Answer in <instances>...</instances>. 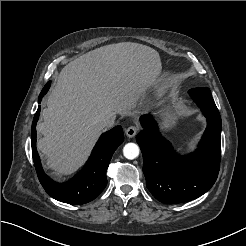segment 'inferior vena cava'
Returning a JSON list of instances; mask_svg holds the SVG:
<instances>
[{
    "label": "inferior vena cava",
    "instance_id": "1",
    "mask_svg": "<svg viewBox=\"0 0 246 246\" xmlns=\"http://www.w3.org/2000/svg\"><path fill=\"white\" fill-rule=\"evenodd\" d=\"M116 115L115 113L107 114L99 120V126L101 128H111L115 123Z\"/></svg>",
    "mask_w": 246,
    "mask_h": 246
}]
</instances>
